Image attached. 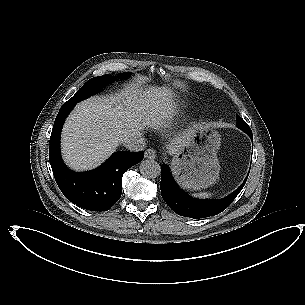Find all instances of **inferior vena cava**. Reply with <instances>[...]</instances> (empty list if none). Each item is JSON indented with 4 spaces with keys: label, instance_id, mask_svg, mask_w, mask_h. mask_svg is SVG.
I'll use <instances>...</instances> for the list:
<instances>
[{
    "label": "inferior vena cava",
    "instance_id": "1",
    "mask_svg": "<svg viewBox=\"0 0 305 305\" xmlns=\"http://www.w3.org/2000/svg\"><path fill=\"white\" fill-rule=\"evenodd\" d=\"M124 146L129 150V151H142L146 147V141L145 138L142 136H132L129 138L124 139Z\"/></svg>",
    "mask_w": 305,
    "mask_h": 305
}]
</instances>
